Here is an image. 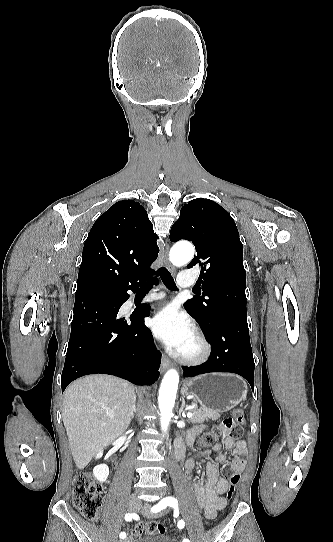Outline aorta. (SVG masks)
<instances>
[{
	"label": "aorta",
	"mask_w": 333,
	"mask_h": 542,
	"mask_svg": "<svg viewBox=\"0 0 333 542\" xmlns=\"http://www.w3.org/2000/svg\"><path fill=\"white\" fill-rule=\"evenodd\" d=\"M169 256L170 258L171 256H175V266H184V264H187V262H190L191 258H193L194 248L191 244H188V242H178V244H175L172 250H170ZM178 384L179 374L177 370H168L162 380L158 398L161 416L160 424L164 432L168 430V426L171 422Z\"/></svg>",
	"instance_id": "762f6f07"
}]
</instances>
